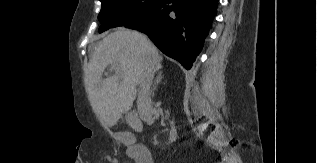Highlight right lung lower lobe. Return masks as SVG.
Masks as SVG:
<instances>
[{
  "mask_svg": "<svg viewBox=\"0 0 317 163\" xmlns=\"http://www.w3.org/2000/svg\"><path fill=\"white\" fill-rule=\"evenodd\" d=\"M218 0H164L153 12L125 27L148 35L167 56L190 69L203 47Z\"/></svg>",
  "mask_w": 317,
  "mask_h": 163,
  "instance_id": "obj_1",
  "label": "right lung lower lobe"
}]
</instances>
